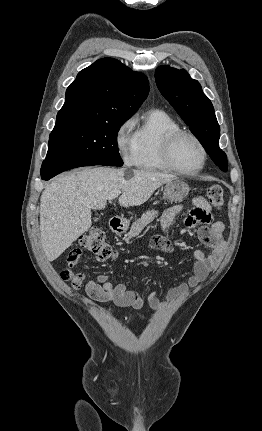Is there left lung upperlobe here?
Segmentation results:
<instances>
[{
    "instance_id": "obj_1",
    "label": "left lung upper lobe",
    "mask_w": 262,
    "mask_h": 431,
    "mask_svg": "<svg viewBox=\"0 0 262 431\" xmlns=\"http://www.w3.org/2000/svg\"><path fill=\"white\" fill-rule=\"evenodd\" d=\"M155 80L161 94L189 126L214 163L226 171V154L219 147L220 127L213 105L199 82L185 70L169 66L158 67Z\"/></svg>"
}]
</instances>
